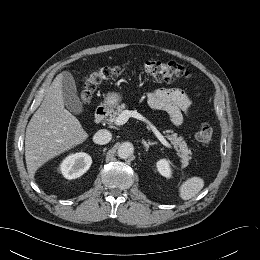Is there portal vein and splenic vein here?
Masks as SVG:
<instances>
[{
  "label": "portal vein and splenic vein",
  "mask_w": 260,
  "mask_h": 260,
  "mask_svg": "<svg viewBox=\"0 0 260 260\" xmlns=\"http://www.w3.org/2000/svg\"><path fill=\"white\" fill-rule=\"evenodd\" d=\"M130 117H134L136 119H139L147 124V126L152 130V132L156 135V137L159 139V141L166 146L167 148H171V145L165 140V138L162 136V134L157 130V128L144 116H142L140 113L136 111H129L124 110L115 121L116 125H123L125 124Z\"/></svg>",
  "instance_id": "1"
}]
</instances>
